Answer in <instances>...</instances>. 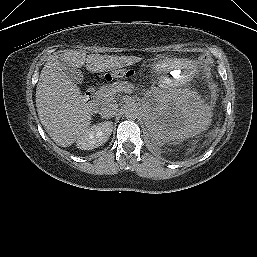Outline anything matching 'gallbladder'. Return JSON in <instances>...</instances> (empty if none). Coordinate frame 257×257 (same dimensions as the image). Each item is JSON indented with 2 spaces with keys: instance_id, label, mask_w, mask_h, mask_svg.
<instances>
[{
  "instance_id": "bac80fb5",
  "label": "gallbladder",
  "mask_w": 257,
  "mask_h": 257,
  "mask_svg": "<svg viewBox=\"0 0 257 257\" xmlns=\"http://www.w3.org/2000/svg\"><path fill=\"white\" fill-rule=\"evenodd\" d=\"M59 59H60V64L62 66V69L66 73L68 78L76 84H82L84 77L81 70L68 65L63 61L62 58H59Z\"/></svg>"
}]
</instances>
